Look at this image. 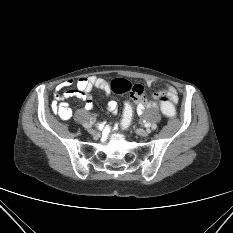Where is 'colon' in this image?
<instances>
[{
  "label": "colon",
  "instance_id": "colon-1",
  "mask_svg": "<svg viewBox=\"0 0 233 233\" xmlns=\"http://www.w3.org/2000/svg\"><path fill=\"white\" fill-rule=\"evenodd\" d=\"M111 90L116 94L130 93L131 101L124 104L121 118V127L126 130L130 127L134 117L135 108L133 103L146 100L145 89L140 84H132L124 79H114L110 83ZM160 102V108L164 115L172 118L175 114L174 107L169 103L167 97L162 93H155Z\"/></svg>",
  "mask_w": 233,
  "mask_h": 233
}]
</instances>
